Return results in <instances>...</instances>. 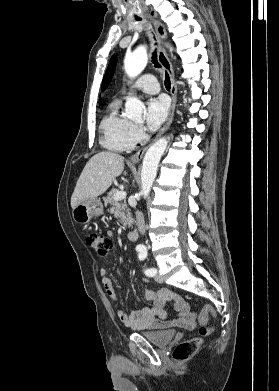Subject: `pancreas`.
<instances>
[{"label":"pancreas","instance_id":"obj_1","mask_svg":"<svg viewBox=\"0 0 279 391\" xmlns=\"http://www.w3.org/2000/svg\"><path fill=\"white\" fill-rule=\"evenodd\" d=\"M116 192L117 190L115 189L110 190L107 193V196L103 198L104 204L105 206L109 204L111 207L108 211L119 217L124 227L130 228L134 221L130 213V209L126 206L125 201H115L113 199Z\"/></svg>","mask_w":279,"mask_h":391}]
</instances>
